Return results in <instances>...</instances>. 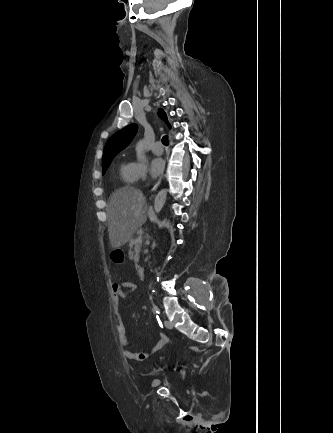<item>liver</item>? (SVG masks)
<instances>
[{"mask_svg":"<svg viewBox=\"0 0 333 433\" xmlns=\"http://www.w3.org/2000/svg\"><path fill=\"white\" fill-rule=\"evenodd\" d=\"M143 192L132 186L114 191L106 208L109 239L112 248L125 245L146 222Z\"/></svg>","mask_w":333,"mask_h":433,"instance_id":"liver-1","label":"liver"}]
</instances>
